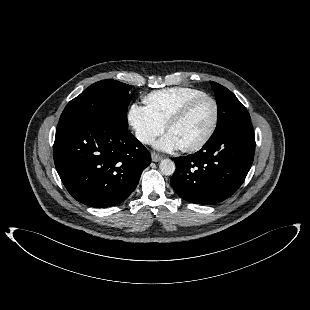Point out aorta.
I'll use <instances>...</instances> for the list:
<instances>
[{"mask_svg": "<svg viewBox=\"0 0 310 310\" xmlns=\"http://www.w3.org/2000/svg\"><path fill=\"white\" fill-rule=\"evenodd\" d=\"M159 169L163 175H173L176 169L175 163L170 159H163L159 164Z\"/></svg>", "mask_w": 310, "mask_h": 310, "instance_id": "1", "label": "aorta"}]
</instances>
